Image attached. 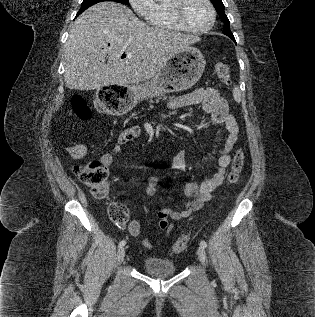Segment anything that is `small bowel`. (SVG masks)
Listing matches in <instances>:
<instances>
[{
  "mask_svg": "<svg viewBox=\"0 0 315 317\" xmlns=\"http://www.w3.org/2000/svg\"><path fill=\"white\" fill-rule=\"evenodd\" d=\"M191 105H201L204 114L207 116V122L212 125L223 124L226 129V140L218 157V170L210 178L201 184L195 182H187L184 186V194L188 200L184 203L181 210L171 209L163 205L156 208L158 224L157 231H164L169 235L173 230V224L168 221L180 220L191 216L194 212L200 210L203 205L210 201L212 194L222 185L226 169L230 165V153L234 149L239 136V128L235 117L230 113L226 100L214 88L198 89L189 94L183 95L172 100L169 103L171 109H181ZM141 127L131 126L125 129L118 137L117 142L111 149L102 155L100 161L106 168L110 167L114 162V156L121 151L122 147L131 140L139 137ZM173 169L185 171L187 169L186 156L184 150H179L173 157ZM158 177H151L146 185V194L155 197L158 193ZM131 236L137 237L141 232V225L138 220H132L128 226ZM142 245L151 249L154 243L150 238H144Z\"/></svg>",
  "mask_w": 315,
  "mask_h": 317,
  "instance_id": "c3829d8e",
  "label": "small bowel"
}]
</instances>
